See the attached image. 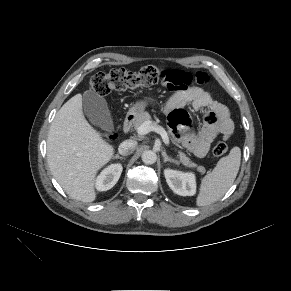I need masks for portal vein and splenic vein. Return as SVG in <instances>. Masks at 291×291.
Wrapping results in <instances>:
<instances>
[{"mask_svg": "<svg viewBox=\"0 0 291 291\" xmlns=\"http://www.w3.org/2000/svg\"><path fill=\"white\" fill-rule=\"evenodd\" d=\"M154 131L161 135L163 142L166 145H169V137L165 129L157 124L152 123L151 121H145L140 127L137 129V133L139 135H146L147 133Z\"/></svg>", "mask_w": 291, "mask_h": 291, "instance_id": "18ae733b", "label": "portal vein and splenic vein"}]
</instances>
